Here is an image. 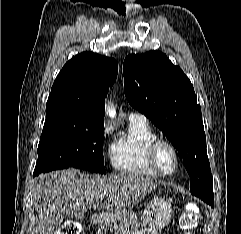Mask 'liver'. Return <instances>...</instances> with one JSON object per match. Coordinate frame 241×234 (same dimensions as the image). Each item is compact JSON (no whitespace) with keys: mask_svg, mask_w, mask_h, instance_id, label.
I'll return each instance as SVG.
<instances>
[{"mask_svg":"<svg viewBox=\"0 0 241 234\" xmlns=\"http://www.w3.org/2000/svg\"><path fill=\"white\" fill-rule=\"evenodd\" d=\"M76 169L59 170L39 177L32 190L38 212L34 234H58L65 213L96 208L99 200L106 214L115 215L136 205L157 184L134 174L91 176Z\"/></svg>","mask_w":241,"mask_h":234,"instance_id":"6515ba94","label":"liver"}]
</instances>
